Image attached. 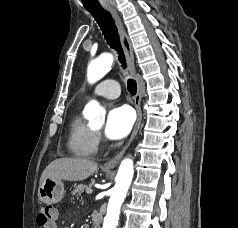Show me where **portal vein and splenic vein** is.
Masks as SVG:
<instances>
[{
  "label": "portal vein and splenic vein",
  "mask_w": 238,
  "mask_h": 228,
  "mask_svg": "<svg viewBox=\"0 0 238 228\" xmlns=\"http://www.w3.org/2000/svg\"><path fill=\"white\" fill-rule=\"evenodd\" d=\"M87 193H88V194H91V193H92V190H91V189H88V190H87Z\"/></svg>",
  "instance_id": "portal-vein-and-splenic-vein-1"
}]
</instances>
